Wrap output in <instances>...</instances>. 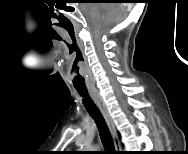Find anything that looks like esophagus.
Returning a JSON list of instances; mask_svg holds the SVG:
<instances>
[{
    "label": "esophagus",
    "instance_id": "34e87169",
    "mask_svg": "<svg viewBox=\"0 0 188 154\" xmlns=\"http://www.w3.org/2000/svg\"><path fill=\"white\" fill-rule=\"evenodd\" d=\"M91 95L95 99V101H96L99 109L101 110L103 117H104V119H105V121H106V123H107V125L110 129L116 150L120 151L121 150V144H120V141H119V137H118L117 131L115 129L114 122H113V120H112V118H111V116L108 112V109H107L103 99L100 97L98 91H91Z\"/></svg>",
    "mask_w": 188,
    "mask_h": 154
}]
</instances>
